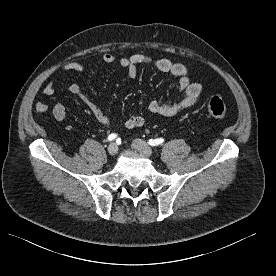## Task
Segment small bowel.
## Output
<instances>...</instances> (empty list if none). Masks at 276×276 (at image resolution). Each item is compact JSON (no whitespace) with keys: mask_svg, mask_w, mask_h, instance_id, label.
Listing matches in <instances>:
<instances>
[{"mask_svg":"<svg viewBox=\"0 0 276 276\" xmlns=\"http://www.w3.org/2000/svg\"><path fill=\"white\" fill-rule=\"evenodd\" d=\"M115 62V57L111 53H105L102 56V63L111 65ZM121 67L126 69L127 75L130 79L137 76L138 66L141 64L148 65L158 69L159 71L170 73L178 78V90L183 94L181 98L173 102H158L152 101L148 105V111L153 114L163 116H174L180 111L193 106L199 99L201 94V85L198 83H191L187 68L181 64L173 62L169 59H156L146 54H134L128 57H122L119 60ZM64 70H71L77 73L84 72V66L78 62H69L63 66ZM69 92L76 96L94 115L95 119L102 125H109L111 123L110 117L103 112V110L88 96L86 95L79 84L73 83L69 86ZM57 88L55 84L50 81L44 88L43 93L46 95H53ZM35 110L39 113L48 110V104L45 102H38L35 104ZM54 118L62 122L66 119L67 111L63 104L56 103L52 108ZM145 120L140 115H130L125 121V127L134 129L142 127Z\"/></svg>","mask_w":276,"mask_h":276,"instance_id":"1","label":"small bowel"}]
</instances>
